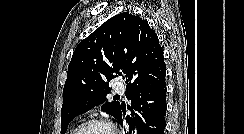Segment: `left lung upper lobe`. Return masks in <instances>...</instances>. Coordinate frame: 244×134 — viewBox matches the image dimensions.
<instances>
[{"label":"left lung upper lobe","instance_id":"obj_1","mask_svg":"<svg viewBox=\"0 0 244 134\" xmlns=\"http://www.w3.org/2000/svg\"><path fill=\"white\" fill-rule=\"evenodd\" d=\"M123 74L126 93L165 84L166 65L156 33L145 19L128 12L108 19L76 47L63 89L61 134L75 116L103 103L102 110L117 119L120 103L105 101L109 81Z\"/></svg>","mask_w":244,"mask_h":134}]
</instances>
